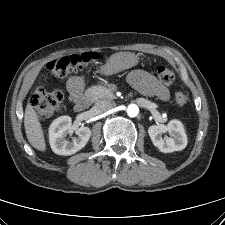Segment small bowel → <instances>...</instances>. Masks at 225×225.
<instances>
[{
    "mask_svg": "<svg viewBox=\"0 0 225 225\" xmlns=\"http://www.w3.org/2000/svg\"><path fill=\"white\" fill-rule=\"evenodd\" d=\"M128 80L131 85L141 94L146 96H156L161 100H167L169 97L168 88L160 82L153 74L145 70H134ZM86 78L84 76H72L66 83L68 100L76 103L82 97L85 88Z\"/></svg>",
    "mask_w": 225,
    "mask_h": 225,
    "instance_id": "small-bowel-1",
    "label": "small bowel"
}]
</instances>
